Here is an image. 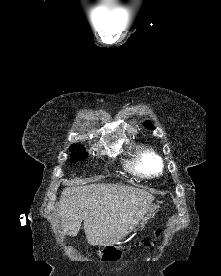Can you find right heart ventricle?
<instances>
[{"label":"right heart ventricle","instance_id":"1","mask_svg":"<svg viewBox=\"0 0 221 276\" xmlns=\"http://www.w3.org/2000/svg\"><path fill=\"white\" fill-rule=\"evenodd\" d=\"M161 158L150 148H139L130 163V169L135 173L156 175L162 170Z\"/></svg>","mask_w":221,"mask_h":276}]
</instances>
